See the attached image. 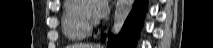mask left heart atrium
<instances>
[{"mask_svg": "<svg viewBox=\"0 0 213 48\" xmlns=\"http://www.w3.org/2000/svg\"><path fill=\"white\" fill-rule=\"evenodd\" d=\"M109 1L108 0H96L95 7L93 9V17L98 20L104 18L109 12Z\"/></svg>", "mask_w": 213, "mask_h": 48, "instance_id": "1", "label": "left heart atrium"}]
</instances>
